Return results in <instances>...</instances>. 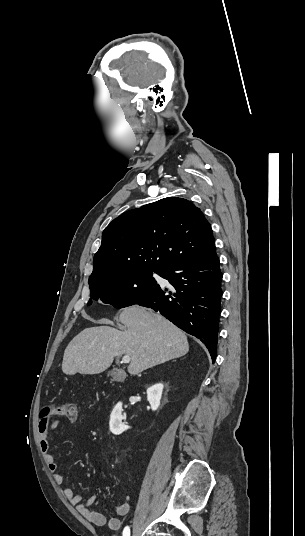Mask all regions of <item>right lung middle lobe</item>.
<instances>
[{"instance_id": "dd1d6c3e", "label": "right lung middle lobe", "mask_w": 305, "mask_h": 536, "mask_svg": "<svg viewBox=\"0 0 305 536\" xmlns=\"http://www.w3.org/2000/svg\"><path fill=\"white\" fill-rule=\"evenodd\" d=\"M153 272L163 275L160 270H137L118 277L89 282L91 298L116 308L136 304L158 285L152 277ZM92 299L87 305H91Z\"/></svg>"}]
</instances>
